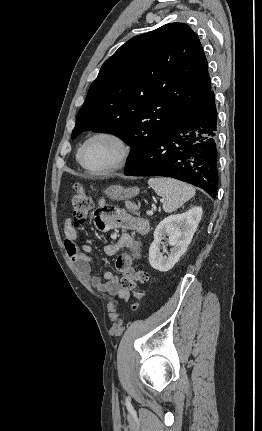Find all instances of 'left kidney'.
Instances as JSON below:
<instances>
[{
	"label": "left kidney",
	"mask_w": 262,
	"mask_h": 431,
	"mask_svg": "<svg viewBox=\"0 0 262 431\" xmlns=\"http://www.w3.org/2000/svg\"><path fill=\"white\" fill-rule=\"evenodd\" d=\"M202 217V208L194 207L163 219L154 231V241L149 248L150 265L161 272L169 271L186 252ZM166 236L172 246L168 256L160 252V243ZM166 252V251H165Z\"/></svg>",
	"instance_id": "1"
}]
</instances>
